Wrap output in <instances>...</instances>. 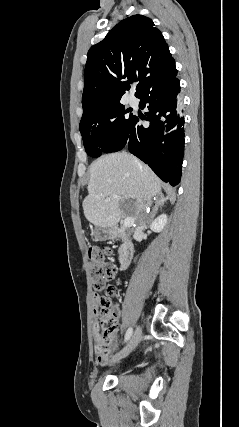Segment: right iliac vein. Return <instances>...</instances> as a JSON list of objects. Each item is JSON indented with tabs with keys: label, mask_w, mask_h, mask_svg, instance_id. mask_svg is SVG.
Returning <instances> with one entry per match:
<instances>
[{
	"label": "right iliac vein",
	"mask_w": 239,
	"mask_h": 427,
	"mask_svg": "<svg viewBox=\"0 0 239 427\" xmlns=\"http://www.w3.org/2000/svg\"><path fill=\"white\" fill-rule=\"evenodd\" d=\"M141 338V328L138 326L132 335L131 339L127 343V345L113 358L114 361H118L122 358L128 356L138 345Z\"/></svg>",
	"instance_id": "63e3f726"
}]
</instances>
